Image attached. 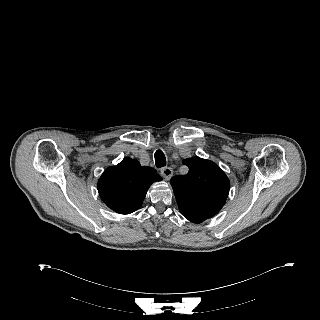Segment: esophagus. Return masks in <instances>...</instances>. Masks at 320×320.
Listing matches in <instances>:
<instances>
[{
	"label": "esophagus",
	"mask_w": 320,
	"mask_h": 320,
	"mask_svg": "<svg viewBox=\"0 0 320 320\" xmlns=\"http://www.w3.org/2000/svg\"><path fill=\"white\" fill-rule=\"evenodd\" d=\"M161 174L166 180H169L173 175V170L170 167H164L161 169Z\"/></svg>",
	"instance_id": "obj_1"
}]
</instances>
